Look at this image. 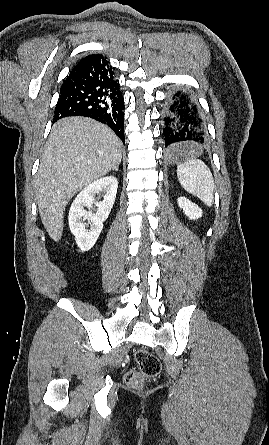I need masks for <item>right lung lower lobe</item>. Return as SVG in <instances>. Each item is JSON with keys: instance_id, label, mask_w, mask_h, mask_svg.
<instances>
[{"instance_id": "1", "label": "right lung lower lobe", "mask_w": 269, "mask_h": 445, "mask_svg": "<svg viewBox=\"0 0 269 445\" xmlns=\"http://www.w3.org/2000/svg\"><path fill=\"white\" fill-rule=\"evenodd\" d=\"M123 102L112 67L97 54L78 62L64 80L53 121L67 116L91 117L108 125L125 144Z\"/></svg>"}]
</instances>
